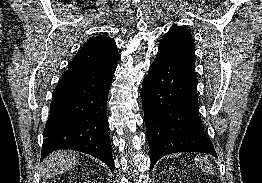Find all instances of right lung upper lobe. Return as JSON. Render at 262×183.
<instances>
[{"instance_id": "1", "label": "right lung upper lobe", "mask_w": 262, "mask_h": 183, "mask_svg": "<svg viewBox=\"0 0 262 183\" xmlns=\"http://www.w3.org/2000/svg\"><path fill=\"white\" fill-rule=\"evenodd\" d=\"M120 59L116 44L106 35L89 39L73 58L68 69L108 68Z\"/></svg>"}]
</instances>
